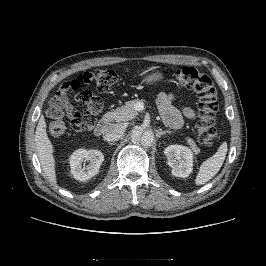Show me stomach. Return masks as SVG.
I'll list each match as a JSON object with an SVG mask.
<instances>
[{
  "label": "stomach",
  "mask_w": 266,
  "mask_h": 266,
  "mask_svg": "<svg viewBox=\"0 0 266 266\" xmlns=\"http://www.w3.org/2000/svg\"><path fill=\"white\" fill-rule=\"evenodd\" d=\"M163 79V74L159 71L151 72L142 79V84L153 85Z\"/></svg>",
  "instance_id": "0dacf381"
}]
</instances>
